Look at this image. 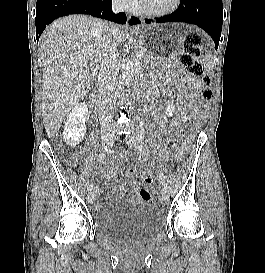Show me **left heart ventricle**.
Returning <instances> with one entry per match:
<instances>
[{"label": "left heart ventricle", "instance_id": "1", "mask_svg": "<svg viewBox=\"0 0 265 273\" xmlns=\"http://www.w3.org/2000/svg\"><path fill=\"white\" fill-rule=\"evenodd\" d=\"M173 0H145L143 3L149 8L162 10L171 6Z\"/></svg>", "mask_w": 265, "mask_h": 273}]
</instances>
